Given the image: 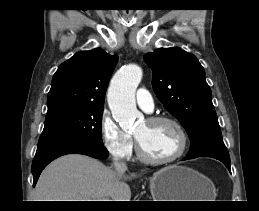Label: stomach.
Instances as JSON below:
<instances>
[{
    "label": "stomach",
    "mask_w": 259,
    "mask_h": 211,
    "mask_svg": "<svg viewBox=\"0 0 259 211\" xmlns=\"http://www.w3.org/2000/svg\"><path fill=\"white\" fill-rule=\"evenodd\" d=\"M153 201H213V183L199 172L178 165L167 166L150 178Z\"/></svg>",
    "instance_id": "stomach-1"
}]
</instances>
